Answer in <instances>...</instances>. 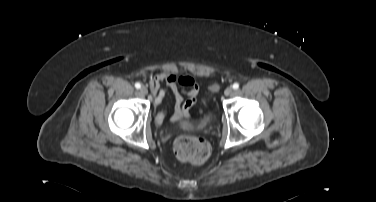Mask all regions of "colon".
Instances as JSON below:
<instances>
[{
	"mask_svg": "<svg viewBox=\"0 0 376 202\" xmlns=\"http://www.w3.org/2000/svg\"><path fill=\"white\" fill-rule=\"evenodd\" d=\"M216 84L211 86L216 91ZM174 153L182 162L202 163L209 157L210 146L206 140L197 136H179L174 142Z\"/></svg>",
	"mask_w": 376,
	"mask_h": 202,
	"instance_id": "obj_1",
	"label": "colon"
}]
</instances>
